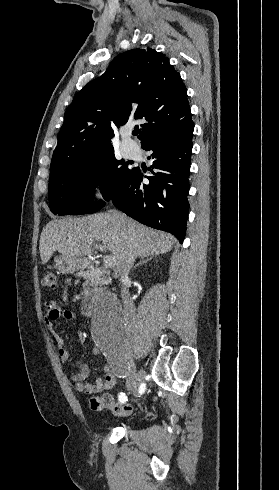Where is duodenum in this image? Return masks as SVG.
<instances>
[{
    "mask_svg": "<svg viewBox=\"0 0 279 490\" xmlns=\"http://www.w3.org/2000/svg\"><path fill=\"white\" fill-rule=\"evenodd\" d=\"M81 311L84 315L90 316L93 311V298L91 295H86L81 301Z\"/></svg>",
    "mask_w": 279,
    "mask_h": 490,
    "instance_id": "1",
    "label": "duodenum"
}]
</instances>
